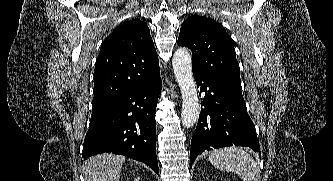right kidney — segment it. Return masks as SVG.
<instances>
[{"mask_svg":"<svg viewBox=\"0 0 333 181\" xmlns=\"http://www.w3.org/2000/svg\"><path fill=\"white\" fill-rule=\"evenodd\" d=\"M134 181H140V179H139V178H136Z\"/></svg>","mask_w":333,"mask_h":181,"instance_id":"ca27d5eb","label":"right kidney"}]
</instances>
